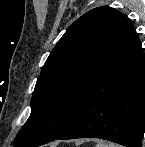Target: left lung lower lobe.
I'll return each mask as SVG.
<instances>
[{"label":"left lung lower lobe","mask_w":145,"mask_h":147,"mask_svg":"<svg viewBox=\"0 0 145 147\" xmlns=\"http://www.w3.org/2000/svg\"><path fill=\"white\" fill-rule=\"evenodd\" d=\"M144 131L145 59L126 18L74 121L55 139L94 137L141 147Z\"/></svg>","instance_id":"0a47b994"}]
</instances>
